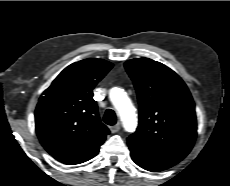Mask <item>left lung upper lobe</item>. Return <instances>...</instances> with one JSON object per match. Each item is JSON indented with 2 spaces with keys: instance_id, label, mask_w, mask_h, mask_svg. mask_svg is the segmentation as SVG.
<instances>
[{
  "instance_id": "1",
  "label": "left lung upper lobe",
  "mask_w": 230,
  "mask_h": 186,
  "mask_svg": "<svg viewBox=\"0 0 230 186\" xmlns=\"http://www.w3.org/2000/svg\"><path fill=\"white\" fill-rule=\"evenodd\" d=\"M139 101V125L128 143L183 159L197 136L195 105L183 80L149 58L125 62Z\"/></svg>"
}]
</instances>
